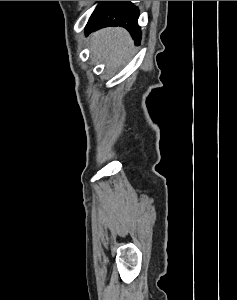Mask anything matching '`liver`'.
Instances as JSON below:
<instances>
[{
    "instance_id": "obj_1",
    "label": "liver",
    "mask_w": 237,
    "mask_h": 300,
    "mask_svg": "<svg viewBox=\"0 0 237 300\" xmlns=\"http://www.w3.org/2000/svg\"><path fill=\"white\" fill-rule=\"evenodd\" d=\"M91 51L107 67H118L130 61L134 43L126 29L108 27L93 33L90 37Z\"/></svg>"
}]
</instances>
